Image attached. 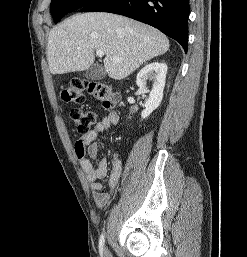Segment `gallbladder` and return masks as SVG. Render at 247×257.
I'll list each match as a JSON object with an SVG mask.
<instances>
[{
  "label": "gallbladder",
  "mask_w": 247,
  "mask_h": 257,
  "mask_svg": "<svg viewBox=\"0 0 247 257\" xmlns=\"http://www.w3.org/2000/svg\"><path fill=\"white\" fill-rule=\"evenodd\" d=\"M106 71L101 64L91 65L84 73V77L88 80H101L105 78Z\"/></svg>",
  "instance_id": "1"
}]
</instances>
